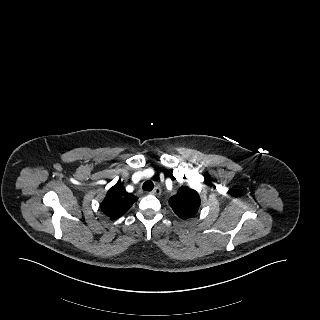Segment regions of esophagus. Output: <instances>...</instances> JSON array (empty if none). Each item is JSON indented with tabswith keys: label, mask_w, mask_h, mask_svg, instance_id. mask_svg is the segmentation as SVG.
Instances as JSON below:
<instances>
[{
	"label": "esophagus",
	"mask_w": 320,
	"mask_h": 320,
	"mask_svg": "<svg viewBox=\"0 0 320 320\" xmlns=\"http://www.w3.org/2000/svg\"><path fill=\"white\" fill-rule=\"evenodd\" d=\"M150 194L156 195V196L160 195V194H161V188H160L159 186H156V187L150 192Z\"/></svg>",
	"instance_id": "obj_1"
}]
</instances>
